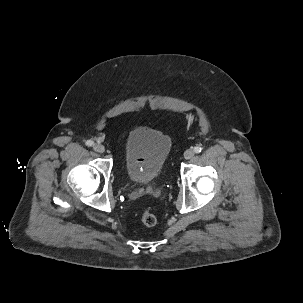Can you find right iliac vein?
Wrapping results in <instances>:
<instances>
[{
    "mask_svg": "<svg viewBox=\"0 0 303 303\" xmlns=\"http://www.w3.org/2000/svg\"><path fill=\"white\" fill-rule=\"evenodd\" d=\"M93 149L96 151V152H99V153H103L105 151V148L102 144L100 143H95L93 145Z\"/></svg>",
    "mask_w": 303,
    "mask_h": 303,
    "instance_id": "63e3f726",
    "label": "right iliac vein"
}]
</instances>
